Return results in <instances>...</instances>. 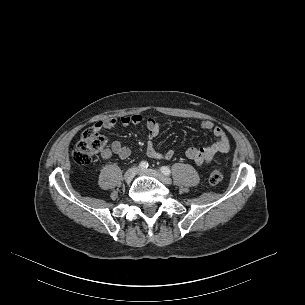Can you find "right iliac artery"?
I'll list each match as a JSON object with an SVG mask.
<instances>
[{
  "label": "right iliac artery",
  "mask_w": 305,
  "mask_h": 305,
  "mask_svg": "<svg viewBox=\"0 0 305 305\" xmlns=\"http://www.w3.org/2000/svg\"><path fill=\"white\" fill-rule=\"evenodd\" d=\"M139 168H141V169L148 168V163L146 161H141L139 164Z\"/></svg>",
  "instance_id": "82829eb1"
}]
</instances>
